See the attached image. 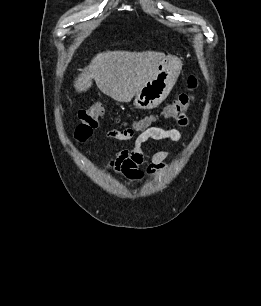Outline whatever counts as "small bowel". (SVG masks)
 I'll use <instances>...</instances> for the list:
<instances>
[{
  "label": "small bowel",
  "mask_w": 261,
  "mask_h": 306,
  "mask_svg": "<svg viewBox=\"0 0 261 306\" xmlns=\"http://www.w3.org/2000/svg\"><path fill=\"white\" fill-rule=\"evenodd\" d=\"M178 123L180 126L187 124V118L183 115L179 118ZM108 136L113 139L125 140L129 137L123 136L120 130H111ZM183 136L179 129L176 128H163L152 127L141 133L135 140L134 147L132 149L121 150L115 154L111 159L109 166L119 176L127 179L130 182H139L145 175L156 176L164 168L165 160L171 155V151L163 150L155 153L146 169L143 170L142 166L145 162L144 152L142 149L143 143L152 140H170L178 142L182 140Z\"/></svg>",
  "instance_id": "c3829d8e"
}]
</instances>
